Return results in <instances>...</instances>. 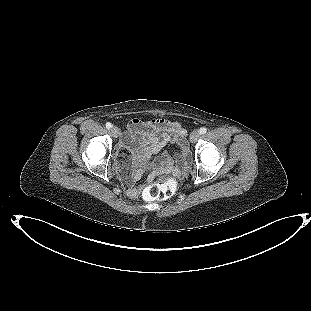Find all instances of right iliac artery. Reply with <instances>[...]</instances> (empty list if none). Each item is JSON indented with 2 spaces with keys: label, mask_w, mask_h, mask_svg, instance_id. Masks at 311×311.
Listing matches in <instances>:
<instances>
[{
  "label": "right iliac artery",
  "mask_w": 311,
  "mask_h": 311,
  "mask_svg": "<svg viewBox=\"0 0 311 311\" xmlns=\"http://www.w3.org/2000/svg\"><path fill=\"white\" fill-rule=\"evenodd\" d=\"M112 127V124L110 122L106 123V128L110 129Z\"/></svg>",
  "instance_id": "82829eb1"
}]
</instances>
